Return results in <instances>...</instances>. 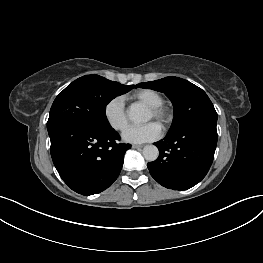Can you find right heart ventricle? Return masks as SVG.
<instances>
[{
    "label": "right heart ventricle",
    "instance_id": "1",
    "mask_svg": "<svg viewBox=\"0 0 263 263\" xmlns=\"http://www.w3.org/2000/svg\"><path fill=\"white\" fill-rule=\"evenodd\" d=\"M134 98L143 102L148 107L162 105L164 100L163 97L156 91L151 89H142L134 93Z\"/></svg>",
    "mask_w": 263,
    "mask_h": 263
}]
</instances>
